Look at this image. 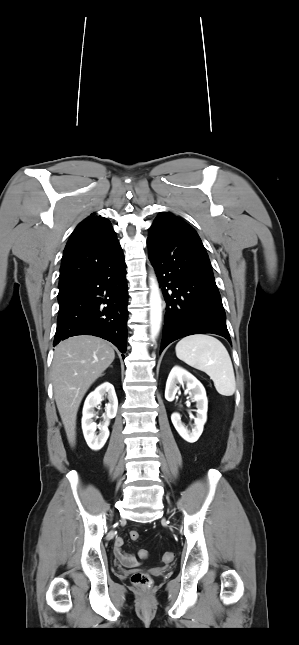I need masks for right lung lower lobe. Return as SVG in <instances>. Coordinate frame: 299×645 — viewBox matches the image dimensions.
<instances>
[{
    "label": "right lung lower lobe",
    "mask_w": 299,
    "mask_h": 645,
    "mask_svg": "<svg viewBox=\"0 0 299 645\" xmlns=\"http://www.w3.org/2000/svg\"><path fill=\"white\" fill-rule=\"evenodd\" d=\"M58 301L53 345L72 336L93 335L126 352L128 289L124 257L60 290Z\"/></svg>",
    "instance_id": "right-lung-lower-lobe-1"
}]
</instances>
